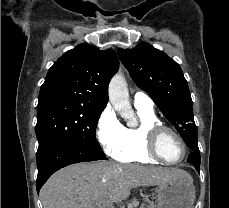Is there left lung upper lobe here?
<instances>
[{
  "instance_id": "1",
  "label": "left lung upper lobe",
  "mask_w": 229,
  "mask_h": 208,
  "mask_svg": "<svg viewBox=\"0 0 229 208\" xmlns=\"http://www.w3.org/2000/svg\"><path fill=\"white\" fill-rule=\"evenodd\" d=\"M117 52L133 81L149 93L181 137H197L192 98L179 64L148 43Z\"/></svg>"
}]
</instances>
